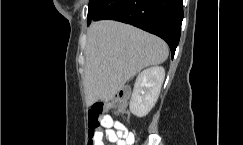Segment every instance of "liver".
Wrapping results in <instances>:
<instances>
[{
    "label": "liver",
    "mask_w": 243,
    "mask_h": 145,
    "mask_svg": "<svg viewBox=\"0 0 243 145\" xmlns=\"http://www.w3.org/2000/svg\"><path fill=\"white\" fill-rule=\"evenodd\" d=\"M84 90L86 104L109 101L142 69L168 58L167 44L131 25L111 20L93 22L88 29Z\"/></svg>",
    "instance_id": "1"
}]
</instances>
